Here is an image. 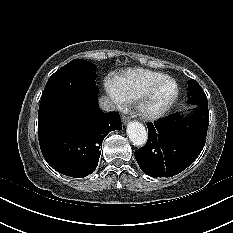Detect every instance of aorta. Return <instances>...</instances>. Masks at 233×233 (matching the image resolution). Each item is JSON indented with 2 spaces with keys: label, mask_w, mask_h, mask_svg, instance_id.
<instances>
[{
  "label": "aorta",
  "mask_w": 233,
  "mask_h": 233,
  "mask_svg": "<svg viewBox=\"0 0 233 233\" xmlns=\"http://www.w3.org/2000/svg\"><path fill=\"white\" fill-rule=\"evenodd\" d=\"M127 135L134 146L141 147L147 142L148 134L144 125L132 121L127 126Z\"/></svg>",
  "instance_id": "762f6f07"
}]
</instances>
